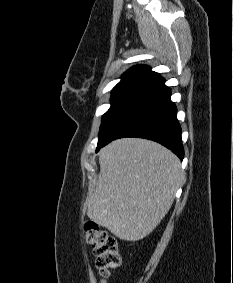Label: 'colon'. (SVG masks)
<instances>
[{"mask_svg": "<svg viewBox=\"0 0 233 283\" xmlns=\"http://www.w3.org/2000/svg\"><path fill=\"white\" fill-rule=\"evenodd\" d=\"M83 227L86 240L93 247L96 266L105 280L121 262L117 242L95 222L86 221Z\"/></svg>", "mask_w": 233, "mask_h": 283, "instance_id": "5ec220e1", "label": "colon"}]
</instances>
